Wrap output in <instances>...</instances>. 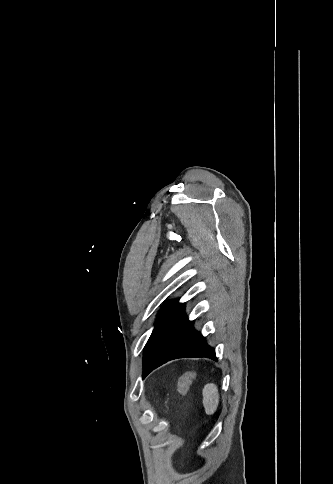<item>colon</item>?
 <instances>
[{
	"label": "colon",
	"instance_id": "obj_1",
	"mask_svg": "<svg viewBox=\"0 0 333 484\" xmlns=\"http://www.w3.org/2000/svg\"><path fill=\"white\" fill-rule=\"evenodd\" d=\"M196 377L195 370H189L182 375L178 384V393L181 396H185Z\"/></svg>",
	"mask_w": 333,
	"mask_h": 484
}]
</instances>
